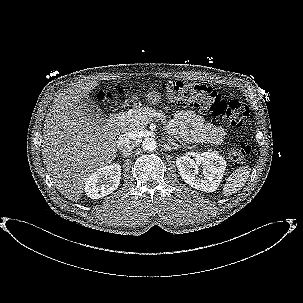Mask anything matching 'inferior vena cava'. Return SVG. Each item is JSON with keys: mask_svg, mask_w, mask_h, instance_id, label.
<instances>
[{"mask_svg": "<svg viewBox=\"0 0 303 303\" xmlns=\"http://www.w3.org/2000/svg\"><path fill=\"white\" fill-rule=\"evenodd\" d=\"M117 147L122 151L131 150L133 146V141L128 134L120 135L117 141Z\"/></svg>", "mask_w": 303, "mask_h": 303, "instance_id": "inferior-vena-cava-1", "label": "inferior vena cava"}]
</instances>
